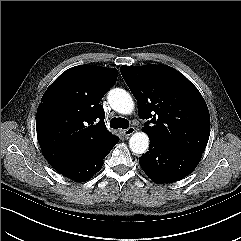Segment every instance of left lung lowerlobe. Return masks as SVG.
Instances as JSON below:
<instances>
[{
  "label": "left lung lower lobe",
  "instance_id": "obj_1",
  "mask_svg": "<svg viewBox=\"0 0 241 241\" xmlns=\"http://www.w3.org/2000/svg\"><path fill=\"white\" fill-rule=\"evenodd\" d=\"M201 154L178 150L150 140L149 151L139 158L147 176L156 183L176 182L190 174Z\"/></svg>",
  "mask_w": 241,
  "mask_h": 241
}]
</instances>
